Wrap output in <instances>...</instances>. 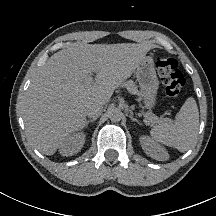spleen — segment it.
<instances>
[{"mask_svg": "<svg viewBox=\"0 0 216 216\" xmlns=\"http://www.w3.org/2000/svg\"><path fill=\"white\" fill-rule=\"evenodd\" d=\"M199 112L194 98L189 97L176 115L174 123L161 121L153 126L151 136L166 146L187 151L198 135Z\"/></svg>", "mask_w": 216, "mask_h": 216, "instance_id": "spleen-1", "label": "spleen"}]
</instances>
